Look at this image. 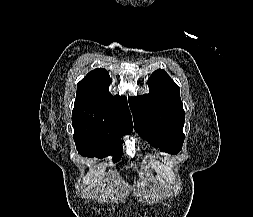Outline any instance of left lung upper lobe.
<instances>
[{"label":"left lung upper lobe","mask_w":253,"mask_h":217,"mask_svg":"<svg viewBox=\"0 0 253 217\" xmlns=\"http://www.w3.org/2000/svg\"><path fill=\"white\" fill-rule=\"evenodd\" d=\"M148 86V94L131 99L136 131L163 152L177 154L185 139L180 88L161 69L152 73Z\"/></svg>","instance_id":"left-lung-upper-lobe-1"}]
</instances>
